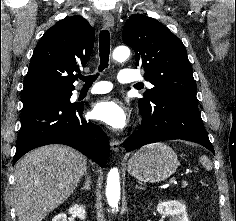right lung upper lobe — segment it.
<instances>
[{"label": "right lung upper lobe", "instance_id": "cb5924a9", "mask_svg": "<svg viewBox=\"0 0 236 221\" xmlns=\"http://www.w3.org/2000/svg\"><path fill=\"white\" fill-rule=\"evenodd\" d=\"M94 39L93 27L81 16L58 21L37 43L21 94L46 89L74 90L75 74L87 63Z\"/></svg>", "mask_w": 236, "mask_h": 221}]
</instances>
